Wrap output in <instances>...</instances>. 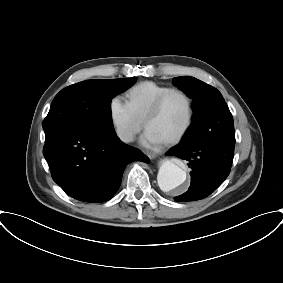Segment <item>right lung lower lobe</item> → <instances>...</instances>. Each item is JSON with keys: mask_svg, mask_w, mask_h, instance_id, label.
Returning <instances> with one entry per match:
<instances>
[{"mask_svg": "<svg viewBox=\"0 0 283 283\" xmlns=\"http://www.w3.org/2000/svg\"><path fill=\"white\" fill-rule=\"evenodd\" d=\"M43 155L53 180L72 198L99 203L118 191L127 164L149 162L113 129L61 128L46 135Z\"/></svg>", "mask_w": 283, "mask_h": 283, "instance_id": "right-lung-lower-lobe-1", "label": "right lung lower lobe"}]
</instances>
